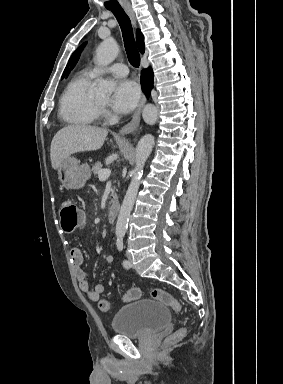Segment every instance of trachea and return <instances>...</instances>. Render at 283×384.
Listing matches in <instances>:
<instances>
[{
    "label": "trachea",
    "mask_w": 283,
    "mask_h": 384,
    "mask_svg": "<svg viewBox=\"0 0 283 384\" xmlns=\"http://www.w3.org/2000/svg\"><path fill=\"white\" fill-rule=\"evenodd\" d=\"M107 10H111L120 25L124 47L130 64L138 68L140 65V55L136 47L130 18L121 7L108 8Z\"/></svg>",
    "instance_id": "obj_1"
}]
</instances>
